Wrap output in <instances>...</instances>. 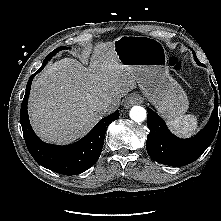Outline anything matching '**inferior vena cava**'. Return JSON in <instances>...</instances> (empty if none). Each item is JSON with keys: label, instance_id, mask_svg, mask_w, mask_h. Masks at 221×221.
<instances>
[{"label": "inferior vena cava", "instance_id": "inferior-vena-cava-1", "mask_svg": "<svg viewBox=\"0 0 221 221\" xmlns=\"http://www.w3.org/2000/svg\"><path fill=\"white\" fill-rule=\"evenodd\" d=\"M118 106H119V102L117 101H107L103 103L102 109L105 114H109L115 111L118 108Z\"/></svg>", "mask_w": 221, "mask_h": 221}]
</instances>
